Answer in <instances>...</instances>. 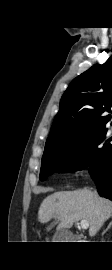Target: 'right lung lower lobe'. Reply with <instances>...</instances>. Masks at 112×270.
<instances>
[{
  "mask_svg": "<svg viewBox=\"0 0 112 270\" xmlns=\"http://www.w3.org/2000/svg\"><path fill=\"white\" fill-rule=\"evenodd\" d=\"M90 173L95 180L100 196L112 200V149L108 152L101 167Z\"/></svg>",
  "mask_w": 112,
  "mask_h": 270,
  "instance_id": "98d812e1",
  "label": "right lung lower lobe"
}]
</instances>
